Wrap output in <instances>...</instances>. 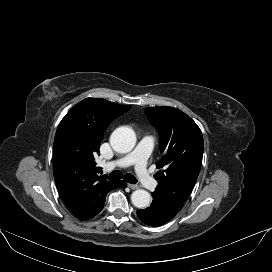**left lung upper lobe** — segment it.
I'll list each match as a JSON object with an SVG mask.
<instances>
[{
	"instance_id": "1",
	"label": "left lung upper lobe",
	"mask_w": 272,
	"mask_h": 272,
	"mask_svg": "<svg viewBox=\"0 0 272 272\" xmlns=\"http://www.w3.org/2000/svg\"><path fill=\"white\" fill-rule=\"evenodd\" d=\"M145 113L160 134V150L164 152L157 163L159 185L152 196L179 209L190 195L202 165L201 130L188 115L173 107L146 108Z\"/></svg>"
}]
</instances>
